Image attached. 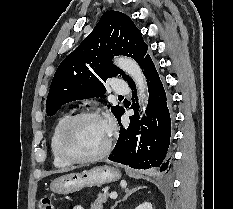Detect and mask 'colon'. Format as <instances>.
Returning a JSON list of instances; mask_svg holds the SVG:
<instances>
[{
	"instance_id": "colon-1",
	"label": "colon",
	"mask_w": 233,
	"mask_h": 209,
	"mask_svg": "<svg viewBox=\"0 0 233 209\" xmlns=\"http://www.w3.org/2000/svg\"><path fill=\"white\" fill-rule=\"evenodd\" d=\"M38 209H54L53 203L49 197H41L38 202Z\"/></svg>"
}]
</instances>
